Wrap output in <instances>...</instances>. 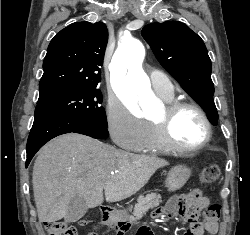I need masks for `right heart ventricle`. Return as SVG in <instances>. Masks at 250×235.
Returning <instances> with one entry per match:
<instances>
[{
  "mask_svg": "<svg viewBox=\"0 0 250 235\" xmlns=\"http://www.w3.org/2000/svg\"><path fill=\"white\" fill-rule=\"evenodd\" d=\"M166 103L173 101V96L163 97L160 96ZM147 138L144 145L139 149L140 152L144 153H159L170 151L160 140L158 130L154 124L148 123Z\"/></svg>",
  "mask_w": 250,
  "mask_h": 235,
  "instance_id": "e07e8e85",
  "label": "right heart ventricle"
}]
</instances>
